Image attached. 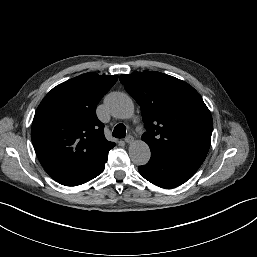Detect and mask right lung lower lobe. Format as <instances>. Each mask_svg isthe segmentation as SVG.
Wrapping results in <instances>:
<instances>
[{"label":"right lung lower lobe","mask_w":257,"mask_h":257,"mask_svg":"<svg viewBox=\"0 0 257 257\" xmlns=\"http://www.w3.org/2000/svg\"><path fill=\"white\" fill-rule=\"evenodd\" d=\"M107 161V157L94 169L88 171L85 175H83L80 178L72 179V180H65L59 182L60 184L66 185V186H77L83 183H86L93 178L97 177L99 174H101L105 168V163Z\"/></svg>","instance_id":"1"}]
</instances>
